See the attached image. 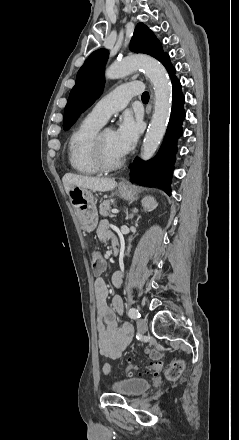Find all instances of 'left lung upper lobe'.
<instances>
[{
  "mask_svg": "<svg viewBox=\"0 0 239 440\" xmlns=\"http://www.w3.org/2000/svg\"><path fill=\"white\" fill-rule=\"evenodd\" d=\"M130 49L136 53L148 54L161 61L166 53L153 32L139 23L130 42ZM109 52L99 49L90 54L78 71L75 86L72 88L65 107L63 129L68 130L78 116L101 95L104 86V66Z\"/></svg>",
  "mask_w": 239,
  "mask_h": 440,
  "instance_id": "obj_1",
  "label": "left lung upper lobe"
}]
</instances>
